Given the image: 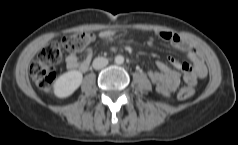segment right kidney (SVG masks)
I'll return each instance as SVG.
<instances>
[{
    "mask_svg": "<svg viewBox=\"0 0 238 145\" xmlns=\"http://www.w3.org/2000/svg\"><path fill=\"white\" fill-rule=\"evenodd\" d=\"M83 80L80 71L71 70L58 77L53 85L54 94L59 98L72 95L79 88Z\"/></svg>",
    "mask_w": 238,
    "mask_h": 145,
    "instance_id": "obj_1",
    "label": "right kidney"
}]
</instances>
